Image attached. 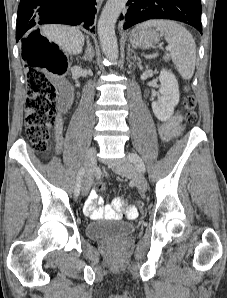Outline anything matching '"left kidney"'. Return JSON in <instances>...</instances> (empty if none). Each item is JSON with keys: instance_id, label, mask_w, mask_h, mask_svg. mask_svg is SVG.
<instances>
[{"instance_id": "obj_1", "label": "left kidney", "mask_w": 227, "mask_h": 298, "mask_svg": "<svg viewBox=\"0 0 227 298\" xmlns=\"http://www.w3.org/2000/svg\"><path fill=\"white\" fill-rule=\"evenodd\" d=\"M160 96L152 103L155 116L161 120H168L179 102V86L173 73L163 69L159 75Z\"/></svg>"}]
</instances>
